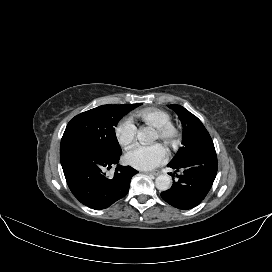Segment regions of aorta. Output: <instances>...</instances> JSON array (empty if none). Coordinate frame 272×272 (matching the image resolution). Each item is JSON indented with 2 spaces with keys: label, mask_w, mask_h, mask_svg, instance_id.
Returning a JSON list of instances; mask_svg holds the SVG:
<instances>
[{
  "label": "aorta",
  "mask_w": 272,
  "mask_h": 272,
  "mask_svg": "<svg viewBox=\"0 0 272 272\" xmlns=\"http://www.w3.org/2000/svg\"><path fill=\"white\" fill-rule=\"evenodd\" d=\"M137 139L141 144H149L155 139V134L149 127L138 131ZM171 178L168 175H159L155 180V186L160 191H166L171 187Z\"/></svg>",
  "instance_id": "762f6f07"
}]
</instances>
